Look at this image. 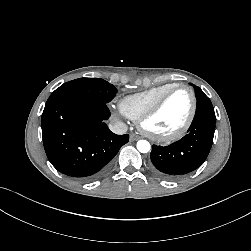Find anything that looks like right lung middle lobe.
<instances>
[{"label":"right lung middle lobe","mask_w":251,"mask_h":251,"mask_svg":"<svg viewBox=\"0 0 251 251\" xmlns=\"http://www.w3.org/2000/svg\"><path fill=\"white\" fill-rule=\"evenodd\" d=\"M116 88L100 78H79L57 88L47 102L61 97H84L108 103L115 96Z\"/></svg>","instance_id":"1"}]
</instances>
